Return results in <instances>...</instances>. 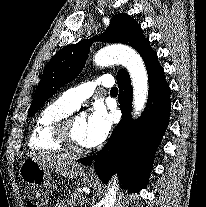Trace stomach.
Returning a JSON list of instances; mask_svg holds the SVG:
<instances>
[{
	"label": "stomach",
	"instance_id": "1",
	"mask_svg": "<svg viewBox=\"0 0 206 207\" xmlns=\"http://www.w3.org/2000/svg\"><path fill=\"white\" fill-rule=\"evenodd\" d=\"M19 176L29 185L51 188L54 183L52 172L32 158H27L20 164ZM82 182L89 187L98 185L96 179L88 176H84Z\"/></svg>",
	"mask_w": 206,
	"mask_h": 207
}]
</instances>
